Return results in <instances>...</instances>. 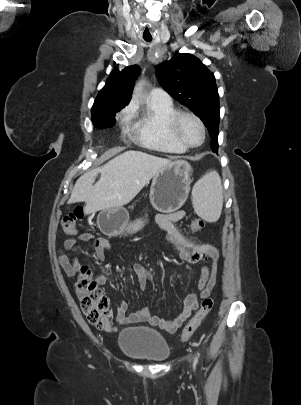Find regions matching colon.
<instances>
[{"mask_svg": "<svg viewBox=\"0 0 301 405\" xmlns=\"http://www.w3.org/2000/svg\"><path fill=\"white\" fill-rule=\"evenodd\" d=\"M83 217L84 211L81 207L66 213L61 219L63 230L68 234H75L77 232V223ZM204 226L205 223L201 219H194L190 223V228L194 232L201 231ZM75 286L80 298L81 308L89 323L101 329H109V319L111 317L109 300L93 279L92 272L88 267H81ZM213 305L214 300L212 298L206 297L203 299L199 310L184 327L181 334L182 341H187L194 334L207 314L212 310Z\"/></svg>", "mask_w": 301, "mask_h": 405, "instance_id": "1", "label": "colon"}]
</instances>
